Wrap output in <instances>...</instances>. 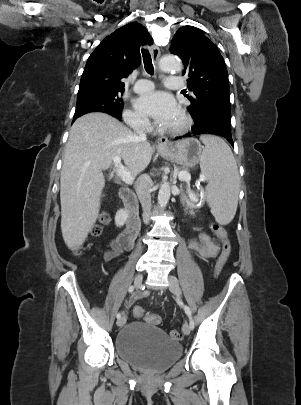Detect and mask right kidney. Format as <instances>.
Returning <instances> with one entry per match:
<instances>
[{"instance_id":"ca27d5eb","label":"right kidney","mask_w":301,"mask_h":405,"mask_svg":"<svg viewBox=\"0 0 301 405\" xmlns=\"http://www.w3.org/2000/svg\"><path fill=\"white\" fill-rule=\"evenodd\" d=\"M128 218V211L125 209H120L117 211L115 215V224L117 227H121L124 225Z\"/></svg>"}]
</instances>
